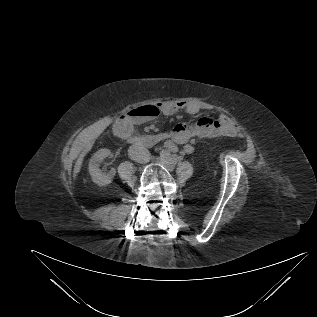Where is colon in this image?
I'll list each match as a JSON object with an SVG mask.
<instances>
[{
    "mask_svg": "<svg viewBox=\"0 0 317 317\" xmlns=\"http://www.w3.org/2000/svg\"><path fill=\"white\" fill-rule=\"evenodd\" d=\"M160 114L159 106L155 104H148L139 106L129 112V115L134 120H142L148 118H155Z\"/></svg>",
    "mask_w": 317,
    "mask_h": 317,
    "instance_id": "obj_1",
    "label": "colon"
}]
</instances>
